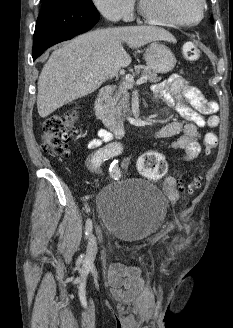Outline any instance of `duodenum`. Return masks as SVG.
<instances>
[{
  "label": "duodenum",
  "mask_w": 233,
  "mask_h": 328,
  "mask_svg": "<svg viewBox=\"0 0 233 328\" xmlns=\"http://www.w3.org/2000/svg\"><path fill=\"white\" fill-rule=\"evenodd\" d=\"M111 94V87L100 90L95 101V115L111 132L118 136L123 130V122L121 119L115 118L108 108Z\"/></svg>",
  "instance_id": "410a0bca"
}]
</instances>
